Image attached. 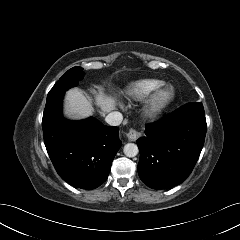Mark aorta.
I'll list each match as a JSON object with an SVG mask.
<instances>
[{
	"mask_svg": "<svg viewBox=\"0 0 240 240\" xmlns=\"http://www.w3.org/2000/svg\"><path fill=\"white\" fill-rule=\"evenodd\" d=\"M123 152L127 157H135L139 150L136 144L134 143H128L124 146Z\"/></svg>",
	"mask_w": 240,
	"mask_h": 240,
	"instance_id": "aorta-1",
	"label": "aorta"
}]
</instances>
